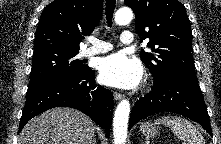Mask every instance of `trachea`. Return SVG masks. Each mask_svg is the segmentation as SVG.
Instances as JSON below:
<instances>
[{
    "instance_id": "obj_1",
    "label": "trachea",
    "mask_w": 221,
    "mask_h": 144,
    "mask_svg": "<svg viewBox=\"0 0 221 144\" xmlns=\"http://www.w3.org/2000/svg\"><path fill=\"white\" fill-rule=\"evenodd\" d=\"M116 5V0H106V19L109 27L112 25L113 13Z\"/></svg>"
}]
</instances>
